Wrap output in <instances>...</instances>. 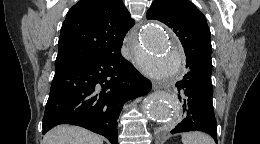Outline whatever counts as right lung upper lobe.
I'll use <instances>...</instances> for the list:
<instances>
[{"label": "right lung upper lobe", "instance_id": "right-lung-upper-lobe-1", "mask_svg": "<svg viewBox=\"0 0 260 144\" xmlns=\"http://www.w3.org/2000/svg\"><path fill=\"white\" fill-rule=\"evenodd\" d=\"M133 25L122 0H80L63 22L55 69L121 51Z\"/></svg>", "mask_w": 260, "mask_h": 144}]
</instances>
